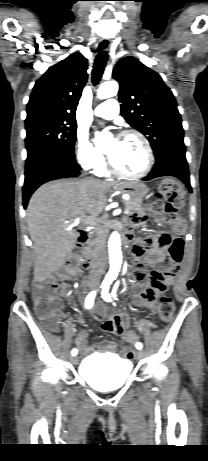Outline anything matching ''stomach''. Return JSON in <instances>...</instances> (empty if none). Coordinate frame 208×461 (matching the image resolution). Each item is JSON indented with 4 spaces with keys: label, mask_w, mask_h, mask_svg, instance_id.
<instances>
[{
    "label": "stomach",
    "mask_w": 208,
    "mask_h": 461,
    "mask_svg": "<svg viewBox=\"0 0 208 461\" xmlns=\"http://www.w3.org/2000/svg\"><path fill=\"white\" fill-rule=\"evenodd\" d=\"M116 190L128 193L133 199H142L148 193L149 188L142 182H124Z\"/></svg>",
    "instance_id": "1"
}]
</instances>
